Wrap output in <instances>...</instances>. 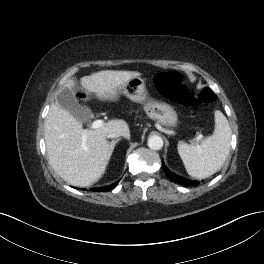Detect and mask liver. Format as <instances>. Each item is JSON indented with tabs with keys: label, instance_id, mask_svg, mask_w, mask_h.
<instances>
[{
	"label": "liver",
	"instance_id": "liver-1",
	"mask_svg": "<svg viewBox=\"0 0 264 264\" xmlns=\"http://www.w3.org/2000/svg\"><path fill=\"white\" fill-rule=\"evenodd\" d=\"M138 76L140 73L136 71L105 70L84 76L80 81L86 93L106 99L116 88ZM74 86V80L65 84L71 90ZM44 128L50 165L64 181L77 187L91 186L105 173L112 154L106 140L109 132L130 136L128 124L121 119L97 129H83L82 122L57 103L51 104Z\"/></svg>",
	"mask_w": 264,
	"mask_h": 264
}]
</instances>
